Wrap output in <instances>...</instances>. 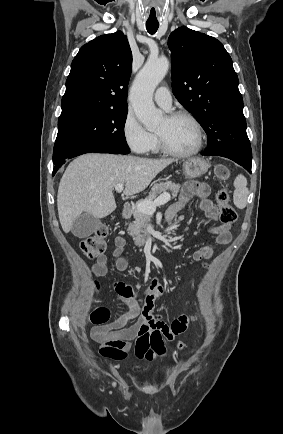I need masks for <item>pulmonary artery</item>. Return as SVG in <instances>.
<instances>
[{"label":"pulmonary artery","mask_w":283,"mask_h":434,"mask_svg":"<svg viewBox=\"0 0 283 434\" xmlns=\"http://www.w3.org/2000/svg\"><path fill=\"white\" fill-rule=\"evenodd\" d=\"M154 100L159 106L167 110L170 109L172 105V97L166 86H161L156 90Z\"/></svg>","instance_id":"e3ab8cb5"}]
</instances>
